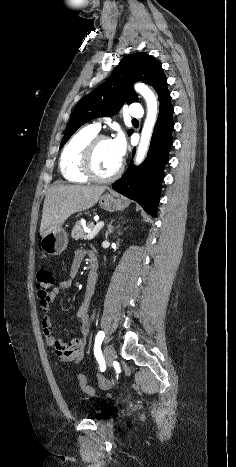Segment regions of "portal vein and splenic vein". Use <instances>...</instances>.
I'll return each mask as SVG.
<instances>
[{"label": "portal vein and splenic vein", "instance_id": "portal-vein-and-splenic-vein-1", "mask_svg": "<svg viewBox=\"0 0 236 467\" xmlns=\"http://www.w3.org/2000/svg\"><path fill=\"white\" fill-rule=\"evenodd\" d=\"M103 226H104V222H98L92 230L88 231L87 239L89 240L93 239L98 234V232L103 228Z\"/></svg>", "mask_w": 236, "mask_h": 467}]
</instances>
